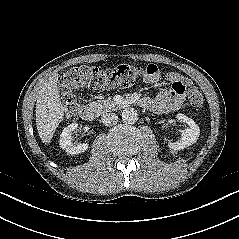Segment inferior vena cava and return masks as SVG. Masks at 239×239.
I'll return each instance as SVG.
<instances>
[{"label":"inferior vena cava","mask_w":239,"mask_h":239,"mask_svg":"<svg viewBox=\"0 0 239 239\" xmlns=\"http://www.w3.org/2000/svg\"><path fill=\"white\" fill-rule=\"evenodd\" d=\"M101 120L106 126H112L118 121V116L115 113H105L102 115Z\"/></svg>","instance_id":"obj_1"}]
</instances>
